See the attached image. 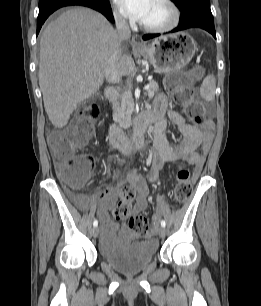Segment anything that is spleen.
<instances>
[{"label":"spleen","mask_w":261,"mask_h":306,"mask_svg":"<svg viewBox=\"0 0 261 306\" xmlns=\"http://www.w3.org/2000/svg\"><path fill=\"white\" fill-rule=\"evenodd\" d=\"M215 87V77L212 75L207 76L203 80L200 88L201 96L208 101H212L215 97Z\"/></svg>","instance_id":"obj_1"}]
</instances>
